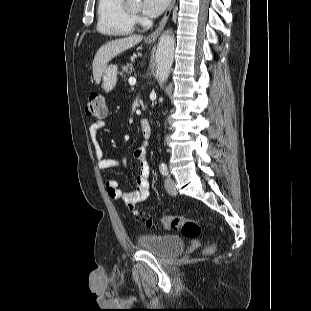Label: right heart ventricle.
I'll use <instances>...</instances> for the list:
<instances>
[{"instance_id":"right-heart-ventricle-1","label":"right heart ventricle","mask_w":311,"mask_h":311,"mask_svg":"<svg viewBox=\"0 0 311 311\" xmlns=\"http://www.w3.org/2000/svg\"><path fill=\"white\" fill-rule=\"evenodd\" d=\"M97 29L109 36H126L133 32L134 22L124 8V0H98Z\"/></svg>"}]
</instances>
